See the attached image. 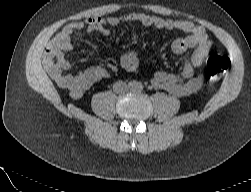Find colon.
Instances as JSON below:
<instances>
[{"label":"colon","instance_id":"colon-1","mask_svg":"<svg viewBox=\"0 0 251 192\" xmlns=\"http://www.w3.org/2000/svg\"><path fill=\"white\" fill-rule=\"evenodd\" d=\"M228 68V59L220 57H212L209 60L210 76L213 79H219L223 76Z\"/></svg>","mask_w":251,"mask_h":192}]
</instances>
